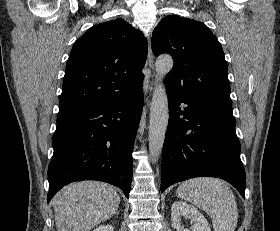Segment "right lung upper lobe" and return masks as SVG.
<instances>
[{
	"label": "right lung upper lobe",
	"mask_w": 280,
	"mask_h": 231,
	"mask_svg": "<svg viewBox=\"0 0 280 231\" xmlns=\"http://www.w3.org/2000/svg\"><path fill=\"white\" fill-rule=\"evenodd\" d=\"M147 41L123 19L91 27L73 45L58 116L126 98L140 89Z\"/></svg>",
	"instance_id": "1"
}]
</instances>
